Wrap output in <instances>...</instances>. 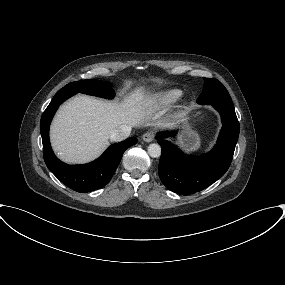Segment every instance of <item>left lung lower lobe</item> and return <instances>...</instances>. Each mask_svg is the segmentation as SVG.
<instances>
[{"instance_id":"0a47b994","label":"left lung lower lobe","mask_w":285,"mask_h":285,"mask_svg":"<svg viewBox=\"0 0 285 285\" xmlns=\"http://www.w3.org/2000/svg\"><path fill=\"white\" fill-rule=\"evenodd\" d=\"M221 114L223 127L218 141L211 152L200 157L182 153L164 138L174 132L159 134L156 138L162 153L158 172L162 183L171 191L189 195L199 192L218 179L228 170L239 136V122L234 107L211 104Z\"/></svg>"}]
</instances>
